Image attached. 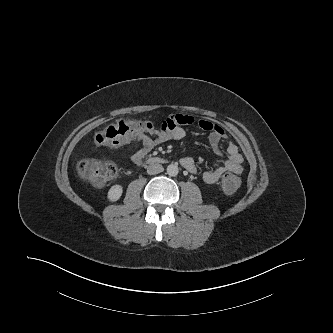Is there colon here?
<instances>
[{
	"mask_svg": "<svg viewBox=\"0 0 333 333\" xmlns=\"http://www.w3.org/2000/svg\"><path fill=\"white\" fill-rule=\"evenodd\" d=\"M152 129V123L146 120L121 119L100 130L94 141L99 147L122 145L146 136ZM78 169L95 186L104 185L117 174L116 165L108 160L84 159L80 161ZM239 185L240 180L234 174L227 173L222 178V188L227 193L235 192Z\"/></svg>",
	"mask_w": 333,
	"mask_h": 333,
	"instance_id": "obj_1",
	"label": "colon"
}]
</instances>
